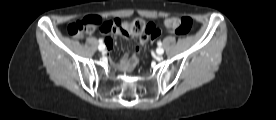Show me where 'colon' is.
Wrapping results in <instances>:
<instances>
[{
  "mask_svg": "<svg viewBox=\"0 0 276 120\" xmlns=\"http://www.w3.org/2000/svg\"><path fill=\"white\" fill-rule=\"evenodd\" d=\"M164 25L178 35H187L193 28V20L187 16L171 17L165 20ZM95 30H100L103 33L119 32L126 38L139 36L140 38L154 39L159 34V29L154 24L147 23L140 18L120 22L103 20L99 16L92 15L71 22L67 26L68 34L73 38Z\"/></svg>",
  "mask_w": 276,
  "mask_h": 120,
  "instance_id": "5ec220e1",
  "label": "colon"
}]
</instances>
